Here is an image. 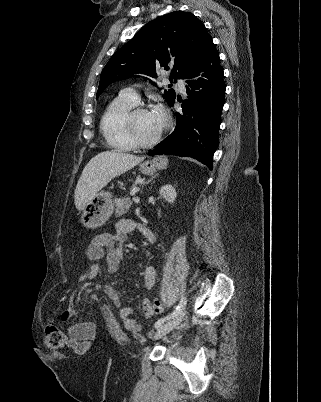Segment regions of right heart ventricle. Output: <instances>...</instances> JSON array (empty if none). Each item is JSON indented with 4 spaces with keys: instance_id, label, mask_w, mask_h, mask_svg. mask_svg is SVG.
Segmentation results:
<instances>
[{
    "instance_id": "e07e8e85",
    "label": "right heart ventricle",
    "mask_w": 321,
    "mask_h": 402,
    "mask_svg": "<svg viewBox=\"0 0 321 402\" xmlns=\"http://www.w3.org/2000/svg\"><path fill=\"white\" fill-rule=\"evenodd\" d=\"M133 107L134 104L117 97L105 108L100 120V131L108 147L122 152L136 148L124 129V117Z\"/></svg>"
}]
</instances>
